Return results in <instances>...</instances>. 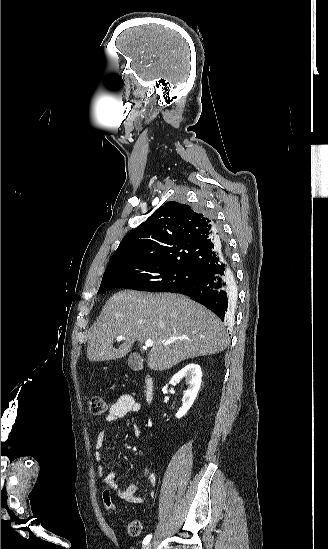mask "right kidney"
I'll return each instance as SVG.
<instances>
[{
    "label": "right kidney",
    "mask_w": 328,
    "mask_h": 549,
    "mask_svg": "<svg viewBox=\"0 0 328 549\" xmlns=\"http://www.w3.org/2000/svg\"><path fill=\"white\" fill-rule=\"evenodd\" d=\"M185 377L186 383L188 385L187 391H185V395L182 399L183 405L181 411H178L176 413L177 419H180V417H183V415H186L187 411H189L190 407H192L196 397L197 393L200 389L201 385V377H202V371L199 367V365H195V363H190V365H186L184 369H181L179 373H176L174 377H172L170 381V385H176L180 379H183ZM163 393H167V385L162 389Z\"/></svg>",
    "instance_id": "1"
}]
</instances>
